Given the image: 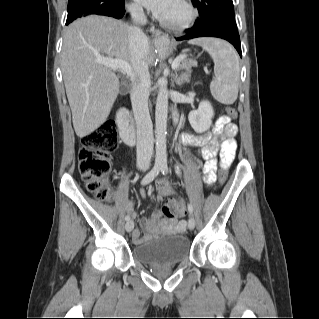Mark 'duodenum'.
<instances>
[{"label":"duodenum","mask_w":319,"mask_h":319,"mask_svg":"<svg viewBox=\"0 0 319 319\" xmlns=\"http://www.w3.org/2000/svg\"><path fill=\"white\" fill-rule=\"evenodd\" d=\"M116 120L122 141L128 145L135 144L136 133L129 111L126 108H119Z\"/></svg>","instance_id":"obj_1"}]
</instances>
